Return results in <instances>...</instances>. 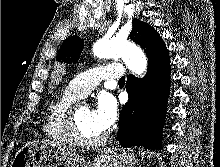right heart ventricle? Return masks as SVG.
<instances>
[{"instance_id": "right-heart-ventricle-1", "label": "right heart ventricle", "mask_w": 220, "mask_h": 167, "mask_svg": "<svg viewBox=\"0 0 220 167\" xmlns=\"http://www.w3.org/2000/svg\"><path fill=\"white\" fill-rule=\"evenodd\" d=\"M78 98L76 94L66 89L55 96L47 107L43 132L48 139L56 144L73 145L67 130V116L72 104Z\"/></svg>"}]
</instances>
